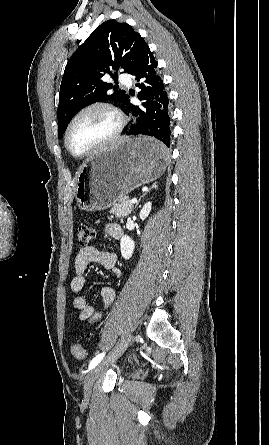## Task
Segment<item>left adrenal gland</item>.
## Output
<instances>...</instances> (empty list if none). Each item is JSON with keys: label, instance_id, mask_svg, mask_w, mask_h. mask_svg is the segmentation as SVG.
Here are the masks:
<instances>
[{"label": "left adrenal gland", "instance_id": "a2214340", "mask_svg": "<svg viewBox=\"0 0 269 445\" xmlns=\"http://www.w3.org/2000/svg\"><path fill=\"white\" fill-rule=\"evenodd\" d=\"M156 189L157 188V183H154L140 198H139V200H138V202H137V204L136 205H138L139 204V202H140V200H141V198H143L151 189Z\"/></svg>", "mask_w": 269, "mask_h": 445}]
</instances>
